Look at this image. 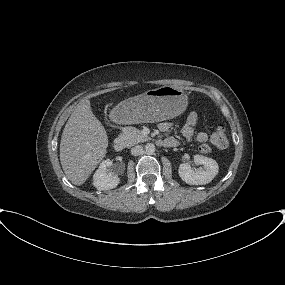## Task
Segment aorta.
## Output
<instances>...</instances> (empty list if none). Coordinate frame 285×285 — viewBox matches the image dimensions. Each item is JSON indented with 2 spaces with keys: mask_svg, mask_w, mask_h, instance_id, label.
Instances as JSON below:
<instances>
[{
  "mask_svg": "<svg viewBox=\"0 0 285 285\" xmlns=\"http://www.w3.org/2000/svg\"><path fill=\"white\" fill-rule=\"evenodd\" d=\"M145 152L152 155L155 152V145L153 143H147L145 145Z\"/></svg>",
  "mask_w": 285,
  "mask_h": 285,
  "instance_id": "762f6f07",
  "label": "aorta"
}]
</instances>
